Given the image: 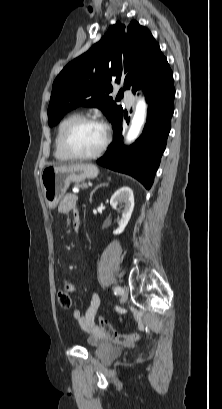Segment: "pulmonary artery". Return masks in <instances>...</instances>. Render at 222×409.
<instances>
[{
    "instance_id": "1",
    "label": "pulmonary artery",
    "mask_w": 222,
    "mask_h": 409,
    "mask_svg": "<svg viewBox=\"0 0 222 409\" xmlns=\"http://www.w3.org/2000/svg\"><path fill=\"white\" fill-rule=\"evenodd\" d=\"M124 97L128 105H131L133 103L134 98L128 90L124 91Z\"/></svg>"
}]
</instances>
